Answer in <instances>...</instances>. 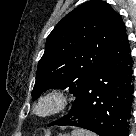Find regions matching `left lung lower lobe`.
Instances as JSON below:
<instances>
[{"mask_svg": "<svg viewBox=\"0 0 136 136\" xmlns=\"http://www.w3.org/2000/svg\"><path fill=\"white\" fill-rule=\"evenodd\" d=\"M129 52L122 25L102 63L78 92L70 113L49 126H77L99 136H128L133 101Z\"/></svg>", "mask_w": 136, "mask_h": 136, "instance_id": "0a47b994", "label": "left lung lower lobe"}]
</instances>
